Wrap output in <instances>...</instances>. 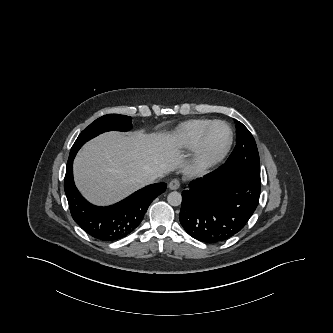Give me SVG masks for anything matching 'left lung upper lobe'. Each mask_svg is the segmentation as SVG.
I'll use <instances>...</instances> for the list:
<instances>
[{
  "mask_svg": "<svg viewBox=\"0 0 333 333\" xmlns=\"http://www.w3.org/2000/svg\"><path fill=\"white\" fill-rule=\"evenodd\" d=\"M236 133V147L226 162L242 167L260 178L259 154L252 134L238 121L236 122Z\"/></svg>",
  "mask_w": 333,
  "mask_h": 333,
  "instance_id": "left-lung-upper-lobe-1",
  "label": "left lung upper lobe"
}]
</instances>
